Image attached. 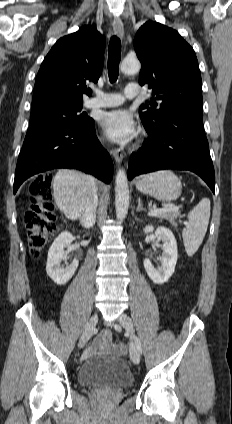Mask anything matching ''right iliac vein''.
I'll return each mask as SVG.
<instances>
[{"label": "right iliac vein", "instance_id": "obj_1", "mask_svg": "<svg viewBox=\"0 0 232 424\" xmlns=\"http://www.w3.org/2000/svg\"><path fill=\"white\" fill-rule=\"evenodd\" d=\"M97 322H98V316L96 314L92 315L89 321L87 322L84 328V331L79 339V342H78L79 348H82L87 343L89 338L92 336V334L95 331Z\"/></svg>", "mask_w": 232, "mask_h": 424}]
</instances>
